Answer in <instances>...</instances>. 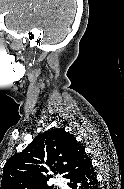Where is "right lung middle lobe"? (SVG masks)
Wrapping results in <instances>:
<instances>
[{
    "instance_id": "right-lung-middle-lobe-1",
    "label": "right lung middle lobe",
    "mask_w": 124,
    "mask_h": 189,
    "mask_svg": "<svg viewBox=\"0 0 124 189\" xmlns=\"http://www.w3.org/2000/svg\"><path fill=\"white\" fill-rule=\"evenodd\" d=\"M38 189H53V186L49 187L48 185H44V186L39 187Z\"/></svg>"
}]
</instances>
